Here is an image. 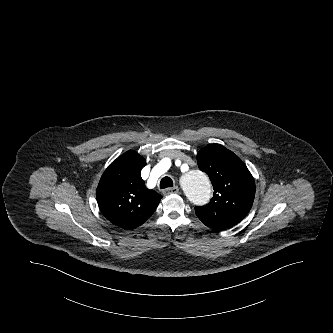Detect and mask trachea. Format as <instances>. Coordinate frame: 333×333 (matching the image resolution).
Instances as JSON below:
<instances>
[{"label":"trachea","mask_w":333,"mask_h":333,"mask_svg":"<svg viewBox=\"0 0 333 333\" xmlns=\"http://www.w3.org/2000/svg\"><path fill=\"white\" fill-rule=\"evenodd\" d=\"M173 186V181L169 177H164L160 181V188L165 189Z\"/></svg>","instance_id":"1"}]
</instances>
